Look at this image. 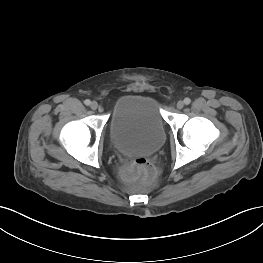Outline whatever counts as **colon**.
Wrapping results in <instances>:
<instances>
[{
    "label": "colon",
    "mask_w": 263,
    "mask_h": 263,
    "mask_svg": "<svg viewBox=\"0 0 263 263\" xmlns=\"http://www.w3.org/2000/svg\"><path fill=\"white\" fill-rule=\"evenodd\" d=\"M131 176H139L141 179L147 183L154 181L157 172L155 167L146 159H138L130 167L128 171Z\"/></svg>",
    "instance_id": "1"
}]
</instances>
